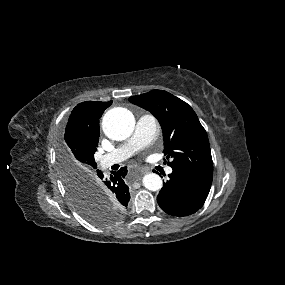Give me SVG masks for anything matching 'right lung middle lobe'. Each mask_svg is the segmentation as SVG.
<instances>
[{"label": "right lung middle lobe", "instance_id": "1", "mask_svg": "<svg viewBox=\"0 0 285 285\" xmlns=\"http://www.w3.org/2000/svg\"><path fill=\"white\" fill-rule=\"evenodd\" d=\"M59 170L64 187L76 211L95 225H109L118 220L124 210L114 202L100 198L91 186L94 176L91 167H97L94 159H72L65 146L58 154Z\"/></svg>", "mask_w": 285, "mask_h": 285}]
</instances>
